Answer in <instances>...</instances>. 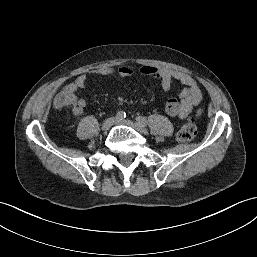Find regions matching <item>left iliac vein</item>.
I'll return each instance as SVG.
<instances>
[{"label": "left iliac vein", "instance_id": "4c4485c4", "mask_svg": "<svg viewBox=\"0 0 257 257\" xmlns=\"http://www.w3.org/2000/svg\"><path fill=\"white\" fill-rule=\"evenodd\" d=\"M115 124L117 125H125V126H129L132 127L133 129H135L136 131L143 133V134H147L148 130L142 126L139 123L133 122L131 120H127V119H116Z\"/></svg>", "mask_w": 257, "mask_h": 257}]
</instances>
